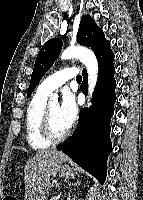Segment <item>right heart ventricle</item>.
I'll return each mask as SVG.
<instances>
[{"label": "right heart ventricle", "instance_id": "e07e8e85", "mask_svg": "<svg viewBox=\"0 0 143 200\" xmlns=\"http://www.w3.org/2000/svg\"><path fill=\"white\" fill-rule=\"evenodd\" d=\"M47 98L48 94L37 89L27 109L25 121L26 139L29 146L34 150H44L51 145L40 133V123Z\"/></svg>", "mask_w": 143, "mask_h": 200}]
</instances>
